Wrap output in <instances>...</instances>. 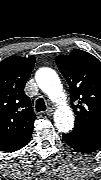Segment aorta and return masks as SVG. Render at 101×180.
Masks as SVG:
<instances>
[{
	"instance_id": "aorta-1",
	"label": "aorta",
	"mask_w": 101,
	"mask_h": 180,
	"mask_svg": "<svg viewBox=\"0 0 101 180\" xmlns=\"http://www.w3.org/2000/svg\"><path fill=\"white\" fill-rule=\"evenodd\" d=\"M36 81L40 89L50 99L58 104L54 115V122L61 132H68L73 128L74 116L70 107L66 104V95L63 92L61 81L55 71L50 68H42L36 73Z\"/></svg>"
}]
</instances>
